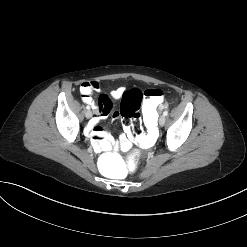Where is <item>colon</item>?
Masks as SVG:
<instances>
[{"instance_id":"colon-1","label":"colon","mask_w":247,"mask_h":247,"mask_svg":"<svg viewBox=\"0 0 247 247\" xmlns=\"http://www.w3.org/2000/svg\"><path fill=\"white\" fill-rule=\"evenodd\" d=\"M163 91L157 88L140 91L131 89L123 94L120 115L130 136L138 146L149 148L156 143L160 134V124L156 120L157 109L163 103ZM146 118V131L143 134L140 109ZM98 169L107 177L114 179L133 177L142 169V158L136 152L105 151L98 158Z\"/></svg>"}]
</instances>
